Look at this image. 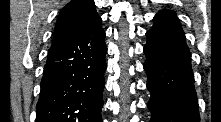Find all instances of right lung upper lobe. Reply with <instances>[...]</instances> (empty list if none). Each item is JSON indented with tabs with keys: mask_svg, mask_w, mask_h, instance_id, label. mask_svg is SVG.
Segmentation results:
<instances>
[{
	"mask_svg": "<svg viewBox=\"0 0 221 122\" xmlns=\"http://www.w3.org/2000/svg\"><path fill=\"white\" fill-rule=\"evenodd\" d=\"M101 22L93 0H72L60 12L51 48L70 40Z\"/></svg>",
	"mask_w": 221,
	"mask_h": 122,
	"instance_id": "right-lung-upper-lobe-1",
	"label": "right lung upper lobe"
}]
</instances>
